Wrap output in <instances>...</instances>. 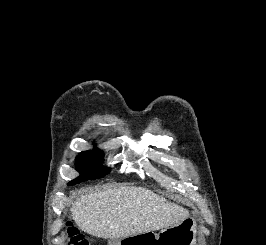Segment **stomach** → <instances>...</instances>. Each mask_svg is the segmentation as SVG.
<instances>
[{"label": "stomach", "instance_id": "0dacf381", "mask_svg": "<svg viewBox=\"0 0 266 245\" xmlns=\"http://www.w3.org/2000/svg\"><path fill=\"white\" fill-rule=\"evenodd\" d=\"M196 223L192 217H187L178 225L162 229L156 233H130L123 237V242H159V245H196Z\"/></svg>", "mask_w": 266, "mask_h": 245}]
</instances>
